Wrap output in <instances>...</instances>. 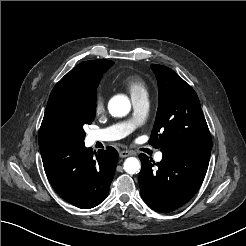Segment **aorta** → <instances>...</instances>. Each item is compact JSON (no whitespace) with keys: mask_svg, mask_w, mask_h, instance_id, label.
Returning <instances> with one entry per match:
<instances>
[{"mask_svg":"<svg viewBox=\"0 0 246 246\" xmlns=\"http://www.w3.org/2000/svg\"><path fill=\"white\" fill-rule=\"evenodd\" d=\"M108 109L113 116L124 117L130 112V100L125 95H116L109 101ZM123 165L128 174H137L141 168L140 161L135 157L127 158Z\"/></svg>","mask_w":246,"mask_h":246,"instance_id":"aorta-1","label":"aorta"}]
</instances>
